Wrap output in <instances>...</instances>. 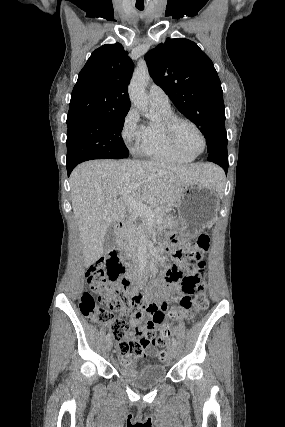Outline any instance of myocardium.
<instances>
[{"mask_svg":"<svg viewBox=\"0 0 285 427\" xmlns=\"http://www.w3.org/2000/svg\"><path fill=\"white\" fill-rule=\"evenodd\" d=\"M180 124H188L192 126L199 134L202 140V149L198 153L190 154L187 151H185L179 144L176 137V129ZM160 126L166 138L168 139L169 143L177 152L185 156H188L190 158H195L204 152L207 145L206 137L203 131L201 130V128L195 122L183 117L173 115V116L162 118L160 121Z\"/></svg>","mask_w":285,"mask_h":427,"instance_id":"myocardium-1","label":"myocardium"}]
</instances>
